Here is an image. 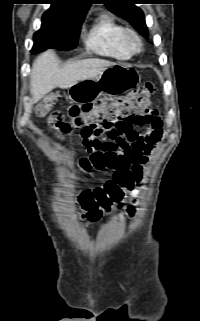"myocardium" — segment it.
I'll return each instance as SVG.
<instances>
[{"label":"myocardium","instance_id":"myocardium-1","mask_svg":"<svg viewBox=\"0 0 200 321\" xmlns=\"http://www.w3.org/2000/svg\"><path fill=\"white\" fill-rule=\"evenodd\" d=\"M136 41V46H133L131 44V40ZM122 44L127 52H129L131 55L138 54L143 49V40L141 36L132 29H126L122 35Z\"/></svg>","mask_w":200,"mask_h":321}]
</instances>
